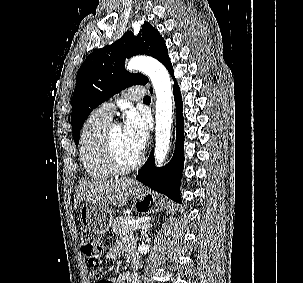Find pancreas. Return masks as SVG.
I'll return each mask as SVG.
<instances>
[{
	"instance_id": "1",
	"label": "pancreas",
	"mask_w": 303,
	"mask_h": 283,
	"mask_svg": "<svg viewBox=\"0 0 303 283\" xmlns=\"http://www.w3.org/2000/svg\"><path fill=\"white\" fill-rule=\"evenodd\" d=\"M134 217L130 215L119 216L113 221V233L117 236L123 237L129 234H133L135 229L134 224H130L129 221L133 220Z\"/></svg>"
}]
</instances>
